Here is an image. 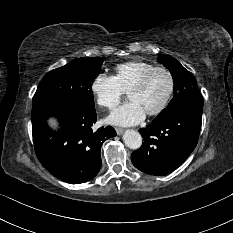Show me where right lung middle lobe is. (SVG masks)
Returning <instances> with one entry per match:
<instances>
[{"mask_svg":"<svg viewBox=\"0 0 233 233\" xmlns=\"http://www.w3.org/2000/svg\"><path fill=\"white\" fill-rule=\"evenodd\" d=\"M102 64L101 57L80 58L48 72L39 83L33 104L64 103L95 110L92 82Z\"/></svg>","mask_w":233,"mask_h":233,"instance_id":"dd1d6c3e","label":"right lung middle lobe"}]
</instances>
